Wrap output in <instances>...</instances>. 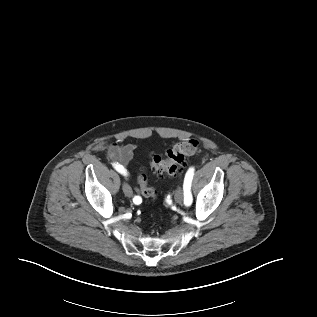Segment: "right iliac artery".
<instances>
[{"instance_id":"82829eb1","label":"right iliac artery","mask_w":317,"mask_h":317,"mask_svg":"<svg viewBox=\"0 0 317 317\" xmlns=\"http://www.w3.org/2000/svg\"><path fill=\"white\" fill-rule=\"evenodd\" d=\"M112 166L116 169V171H118V172L121 173L122 175H124V176L127 175V171H125V170L122 168V166H120V165H118V164H116V163H113ZM133 202L138 205V204H140V203L142 202V199H141V197H139V196H135V197L133 198Z\"/></svg>"}]
</instances>
